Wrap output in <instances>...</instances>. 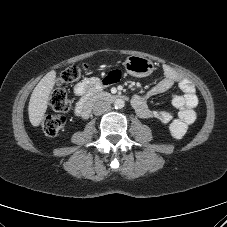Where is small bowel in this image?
<instances>
[{"label":"small bowel","instance_id":"obj_1","mask_svg":"<svg viewBox=\"0 0 227 227\" xmlns=\"http://www.w3.org/2000/svg\"><path fill=\"white\" fill-rule=\"evenodd\" d=\"M164 77L152 86L148 92L135 95L132 99V106L136 114L143 119H157L163 123H170V134L174 139H181L188 126L196 119L194 111L198 104V97L193 83L185 76L178 74L170 66L163 67ZM119 71H112L103 80L86 78L74 88V94L79 97L76 113H80L85 98L103 87H106L120 79ZM177 84L182 94L174 95L172 98V109L157 111L152 110L146 103V98L151 95L161 94L168 91L174 84Z\"/></svg>","mask_w":227,"mask_h":227}]
</instances>
